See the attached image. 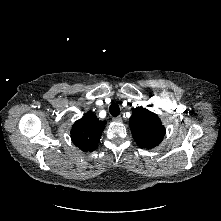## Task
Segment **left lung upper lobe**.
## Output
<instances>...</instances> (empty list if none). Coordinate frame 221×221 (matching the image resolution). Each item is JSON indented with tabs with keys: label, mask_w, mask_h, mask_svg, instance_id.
Instances as JSON below:
<instances>
[{
	"label": "left lung upper lobe",
	"mask_w": 221,
	"mask_h": 221,
	"mask_svg": "<svg viewBox=\"0 0 221 221\" xmlns=\"http://www.w3.org/2000/svg\"><path fill=\"white\" fill-rule=\"evenodd\" d=\"M129 125L134 140L141 148L156 147L162 142L166 132L158 115L143 107L132 111Z\"/></svg>",
	"instance_id": "5c2ea615"
}]
</instances>
